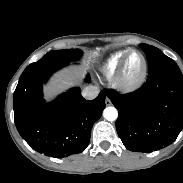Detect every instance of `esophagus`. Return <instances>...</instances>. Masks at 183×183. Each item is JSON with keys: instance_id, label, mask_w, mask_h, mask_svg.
Here are the masks:
<instances>
[{"instance_id": "esophagus-1", "label": "esophagus", "mask_w": 183, "mask_h": 183, "mask_svg": "<svg viewBox=\"0 0 183 183\" xmlns=\"http://www.w3.org/2000/svg\"><path fill=\"white\" fill-rule=\"evenodd\" d=\"M105 103L107 106H109L111 105V100L108 97H106Z\"/></svg>"}]
</instances>
